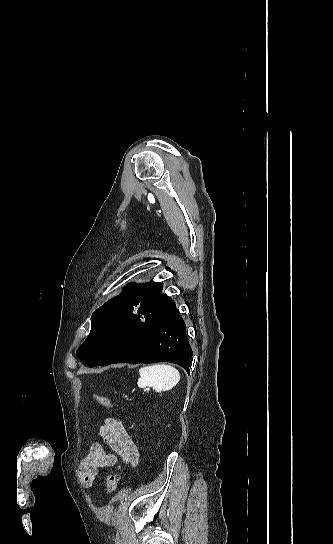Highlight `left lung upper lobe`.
<instances>
[{
	"instance_id": "obj_1",
	"label": "left lung upper lobe",
	"mask_w": 333,
	"mask_h": 544,
	"mask_svg": "<svg viewBox=\"0 0 333 544\" xmlns=\"http://www.w3.org/2000/svg\"><path fill=\"white\" fill-rule=\"evenodd\" d=\"M161 291L162 285L159 282H130L126 285L121 294L107 301L92 314L91 332L78 348V357L90 367L97 366L103 359L95 335L106 320L121 318L134 324H150L166 314L175 303Z\"/></svg>"
}]
</instances>
